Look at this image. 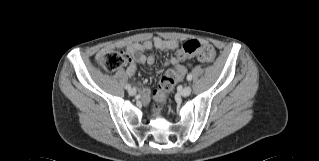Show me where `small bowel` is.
<instances>
[{
	"instance_id": "small-bowel-1",
	"label": "small bowel",
	"mask_w": 319,
	"mask_h": 161,
	"mask_svg": "<svg viewBox=\"0 0 319 161\" xmlns=\"http://www.w3.org/2000/svg\"><path fill=\"white\" fill-rule=\"evenodd\" d=\"M202 44L207 46L208 43L203 41ZM115 47L122 48L125 50L128 55V67L125 71V74L128 77L134 75L136 71V63H141L143 65H153L156 62V57L154 55H144L143 53L150 50L151 48H156L161 51H177L179 49L178 41L174 39H163L161 37H154L152 40H146L143 42H127L120 43L117 46H106L101 50V53L104 54L108 51L113 50ZM178 56V55H177ZM177 56L171 58L166 65L173 66V68L181 67L182 72L180 75V80H182L186 74V68L181 64V61L178 60ZM150 100V91L148 89H143L141 92V102L143 104L148 103Z\"/></svg>"
}]
</instances>
